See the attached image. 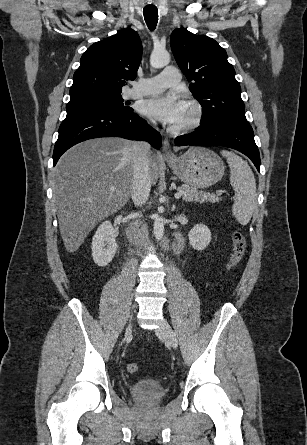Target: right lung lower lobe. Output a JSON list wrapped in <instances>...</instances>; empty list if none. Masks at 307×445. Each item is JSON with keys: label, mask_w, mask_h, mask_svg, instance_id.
<instances>
[{"label": "right lung lower lobe", "mask_w": 307, "mask_h": 445, "mask_svg": "<svg viewBox=\"0 0 307 445\" xmlns=\"http://www.w3.org/2000/svg\"><path fill=\"white\" fill-rule=\"evenodd\" d=\"M98 137L142 139L150 142L156 149L161 146L160 134L133 112L109 108L76 109L67 112L60 125L53 152V166L70 147Z\"/></svg>", "instance_id": "right-lung-lower-lobe-1"}]
</instances>
